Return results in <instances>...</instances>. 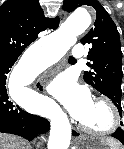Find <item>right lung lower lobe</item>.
Segmentation results:
<instances>
[{"mask_svg":"<svg viewBox=\"0 0 124 149\" xmlns=\"http://www.w3.org/2000/svg\"><path fill=\"white\" fill-rule=\"evenodd\" d=\"M17 59H0V133L19 135L31 141L48 132L50 124L45 118L26 112L9 100L5 86L7 74Z\"/></svg>","mask_w":124,"mask_h":149,"instance_id":"right-lung-lower-lobe-1","label":"right lung lower lobe"}]
</instances>
